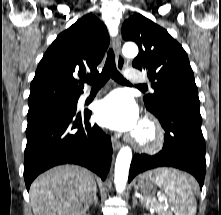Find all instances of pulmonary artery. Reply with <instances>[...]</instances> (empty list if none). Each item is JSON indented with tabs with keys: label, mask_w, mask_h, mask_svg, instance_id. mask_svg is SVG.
Here are the masks:
<instances>
[{
	"label": "pulmonary artery",
	"mask_w": 221,
	"mask_h": 215,
	"mask_svg": "<svg viewBox=\"0 0 221 215\" xmlns=\"http://www.w3.org/2000/svg\"><path fill=\"white\" fill-rule=\"evenodd\" d=\"M126 78L129 82L131 83H143L145 82V78L142 74H140L138 71H136L135 69H128L125 73ZM91 95V93L89 91L84 92L81 96H80V103H83L87 98H89Z\"/></svg>",
	"instance_id": "e3ab8cb5"
}]
</instances>
